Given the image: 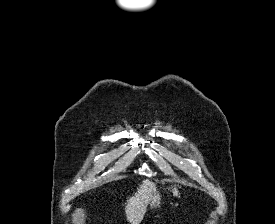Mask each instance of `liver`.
<instances>
[{
    "mask_svg": "<svg viewBox=\"0 0 275 224\" xmlns=\"http://www.w3.org/2000/svg\"><path fill=\"white\" fill-rule=\"evenodd\" d=\"M154 190V183L144 180L135 195L127 199L125 213L129 223L139 224L142 221Z\"/></svg>",
    "mask_w": 275,
    "mask_h": 224,
    "instance_id": "obj_1",
    "label": "liver"
}]
</instances>
